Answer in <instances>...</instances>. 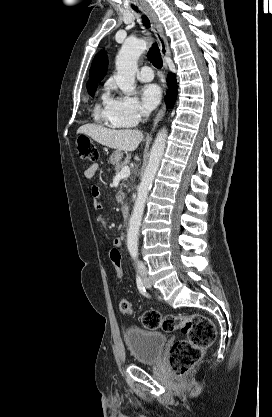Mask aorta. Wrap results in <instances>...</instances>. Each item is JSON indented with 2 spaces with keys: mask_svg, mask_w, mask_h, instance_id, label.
Wrapping results in <instances>:
<instances>
[{
  "mask_svg": "<svg viewBox=\"0 0 272 417\" xmlns=\"http://www.w3.org/2000/svg\"><path fill=\"white\" fill-rule=\"evenodd\" d=\"M147 49L144 39H126L116 57V84L124 93H132L135 89V74L137 61ZM167 130L161 129L152 145L149 161L137 189V198L129 222L127 232V248L133 259L138 256L139 228L146 204L148 193L152 187L155 175L159 169L164 154Z\"/></svg>",
  "mask_w": 272,
  "mask_h": 417,
  "instance_id": "aorta-1",
  "label": "aorta"
}]
</instances>
